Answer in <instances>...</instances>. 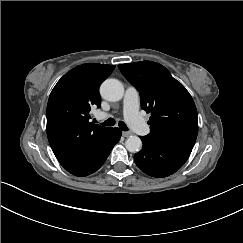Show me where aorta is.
I'll use <instances>...</instances> for the list:
<instances>
[{
  "instance_id": "obj_1",
  "label": "aorta",
  "mask_w": 243,
  "mask_h": 243,
  "mask_svg": "<svg viewBox=\"0 0 243 243\" xmlns=\"http://www.w3.org/2000/svg\"><path fill=\"white\" fill-rule=\"evenodd\" d=\"M100 94L105 100L112 102L119 101L123 97L124 87L117 79H107L100 87ZM125 147L129 152H138L142 147V141L136 135L129 136L125 141Z\"/></svg>"
}]
</instances>
